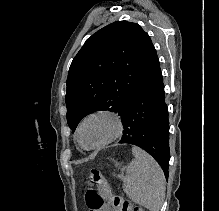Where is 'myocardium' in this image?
<instances>
[{"mask_svg":"<svg viewBox=\"0 0 219 211\" xmlns=\"http://www.w3.org/2000/svg\"><path fill=\"white\" fill-rule=\"evenodd\" d=\"M97 116H104V117L111 119L113 122V130L110 133V135L100 144H98L96 146H92V147H85L81 142L82 127L87 120H89L90 118H93V117H97ZM123 129H124V121H123L122 116L117 111L111 110V109H98V110H95V111L88 113L81 120V122L79 123L78 128H77L76 136H77L78 143L84 149H86V150H99V149L104 148L108 144L112 143L113 141L117 140L118 138H120L122 133H123Z\"/></svg>","mask_w":219,"mask_h":211,"instance_id":"obj_1","label":"myocardium"}]
</instances>
